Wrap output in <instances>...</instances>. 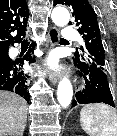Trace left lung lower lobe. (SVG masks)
I'll list each match as a JSON object with an SVG mask.
<instances>
[{
	"mask_svg": "<svg viewBox=\"0 0 117 136\" xmlns=\"http://www.w3.org/2000/svg\"><path fill=\"white\" fill-rule=\"evenodd\" d=\"M73 59L74 65L80 71V76H84L85 88L76 93L72 107L89 103H105L114 107L107 72L100 69L94 62L82 61L77 57Z\"/></svg>",
	"mask_w": 117,
	"mask_h": 136,
	"instance_id": "obj_1",
	"label": "left lung lower lobe"
}]
</instances>
